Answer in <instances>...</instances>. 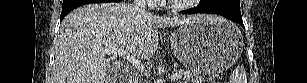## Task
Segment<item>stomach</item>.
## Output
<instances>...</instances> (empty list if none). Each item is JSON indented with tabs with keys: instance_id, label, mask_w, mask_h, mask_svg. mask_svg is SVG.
I'll list each match as a JSON object with an SVG mask.
<instances>
[{
	"instance_id": "obj_1",
	"label": "stomach",
	"mask_w": 307,
	"mask_h": 83,
	"mask_svg": "<svg viewBox=\"0 0 307 83\" xmlns=\"http://www.w3.org/2000/svg\"><path fill=\"white\" fill-rule=\"evenodd\" d=\"M170 44L174 56L187 69L214 75L229 68L239 58L243 37L229 21L204 18L174 30Z\"/></svg>"
}]
</instances>
